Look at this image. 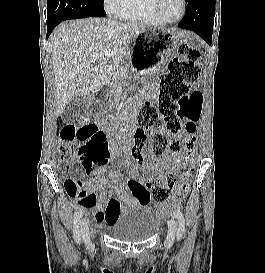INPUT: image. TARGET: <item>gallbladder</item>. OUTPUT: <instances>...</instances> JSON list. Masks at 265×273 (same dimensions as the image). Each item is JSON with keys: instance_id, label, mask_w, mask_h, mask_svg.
Masks as SVG:
<instances>
[{"instance_id": "1", "label": "gallbladder", "mask_w": 265, "mask_h": 273, "mask_svg": "<svg viewBox=\"0 0 265 273\" xmlns=\"http://www.w3.org/2000/svg\"><path fill=\"white\" fill-rule=\"evenodd\" d=\"M86 104L87 99L84 97H75L70 100L62 113L63 121L66 123L78 122L84 114Z\"/></svg>"}]
</instances>
